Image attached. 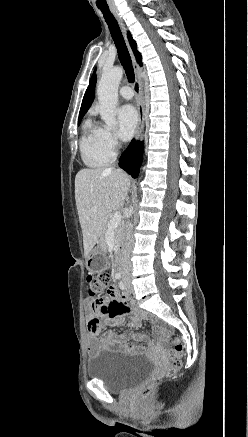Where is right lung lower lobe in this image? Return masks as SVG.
Here are the masks:
<instances>
[{"label":"right lung lower lobe","mask_w":248,"mask_h":437,"mask_svg":"<svg viewBox=\"0 0 248 437\" xmlns=\"http://www.w3.org/2000/svg\"><path fill=\"white\" fill-rule=\"evenodd\" d=\"M143 155V142L132 140L128 148L119 159V166L124 169L133 178L139 174Z\"/></svg>","instance_id":"right-lung-lower-lobe-1"}]
</instances>
